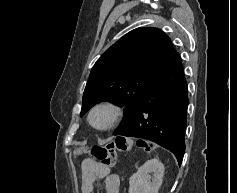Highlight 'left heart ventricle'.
I'll use <instances>...</instances> for the list:
<instances>
[{"label":"left heart ventricle","mask_w":237,"mask_h":193,"mask_svg":"<svg viewBox=\"0 0 237 193\" xmlns=\"http://www.w3.org/2000/svg\"><path fill=\"white\" fill-rule=\"evenodd\" d=\"M108 117H109V115L107 112L100 111L94 115L93 120H94V123L97 125H104L107 122Z\"/></svg>","instance_id":"obj_1"}]
</instances>
